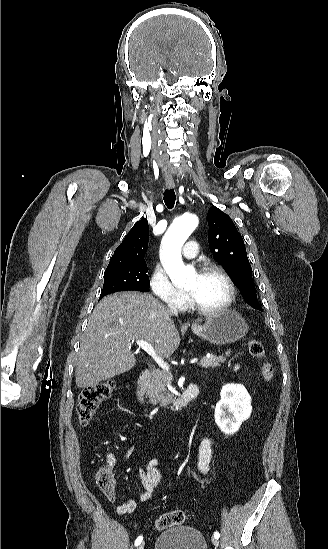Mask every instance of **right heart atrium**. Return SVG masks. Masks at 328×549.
Wrapping results in <instances>:
<instances>
[{
    "label": "right heart atrium",
    "mask_w": 328,
    "mask_h": 549,
    "mask_svg": "<svg viewBox=\"0 0 328 549\" xmlns=\"http://www.w3.org/2000/svg\"><path fill=\"white\" fill-rule=\"evenodd\" d=\"M148 284L155 296V303H182L186 299L185 294L173 284L158 261L150 267Z\"/></svg>",
    "instance_id": "1"
}]
</instances>
